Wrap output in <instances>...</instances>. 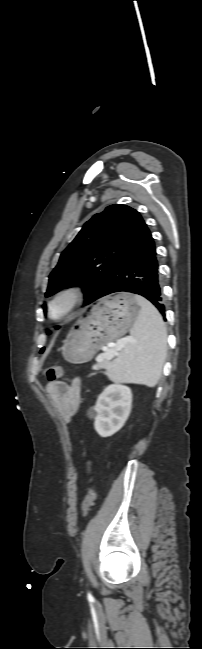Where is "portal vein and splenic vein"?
I'll use <instances>...</instances> for the list:
<instances>
[{
  "instance_id": "18ae733b",
  "label": "portal vein and splenic vein",
  "mask_w": 202,
  "mask_h": 649,
  "mask_svg": "<svg viewBox=\"0 0 202 649\" xmlns=\"http://www.w3.org/2000/svg\"><path fill=\"white\" fill-rule=\"evenodd\" d=\"M133 341H134V340H133L132 338H122V339H120V340L118 341V344H117L116 348H115L114 350H108V352L103 353V354H100V355L96 358L97 362H101V361H103L104 359H108V360L113 359V357H114L115 354H116V351H118V350H120L121 348H123V346H124L125 343H127V342H133ZM93 369H97V366H94Z\"/></svg>"
}]
</instances>
